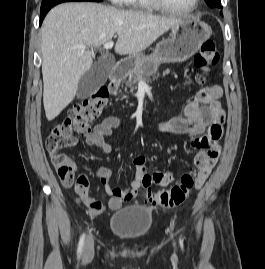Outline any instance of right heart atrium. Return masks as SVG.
Segmentation results:
<instances>
[{"label": "right heart atrium", "instance_id": "obj_1", "mask_svg": "<svg viewBox=\"0 0 265 269\" xmlns=\"http://www.w3.org/2000/svg\"><path fill=\"white\" fill-rule=\"evenodd\" d=\"M114 5H122L126 2V0H109Z\"/></svg>", "mask_w": 265, "mask_h": 269}]
</instances>
